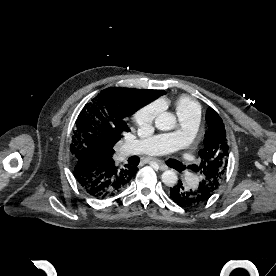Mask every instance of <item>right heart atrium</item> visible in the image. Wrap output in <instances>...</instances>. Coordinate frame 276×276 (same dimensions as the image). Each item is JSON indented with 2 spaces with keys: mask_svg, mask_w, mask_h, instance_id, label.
<instances>
[{
  "mask_svg": "<svg viewBox=\"0 0 276 276\" xmlns=\"http://www.w3.org/2000/svg\"><path fill=\"white\" fill-rule=\"evenodd\" d=\"M157 114L158 106L156 104H149L136 111L134 121L139 127L146 128L152 124Z\"/></svg>",
  "mask_w": 276,
  "mask_h": 276,
  "instance_id": "1",
  "label": "right heart atrium"
}]
</instances>
